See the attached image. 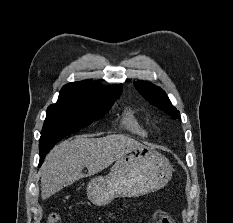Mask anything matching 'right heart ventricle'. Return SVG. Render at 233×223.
Returning <instances> with one entry per match:
<instances>
[{
	"mask_svg": "<svg viewBox=\"0 0 233 223\" xmlns=\"http://www.w3.org/2000/svg\"><path fill=\"white\" fill-rule=\"evenodd\" d=\"M120 126L140 137H147L149 134L146 125L140 120L132 109H127L123 112L120 118Z\"/></svg>",
	"mask_w": 233,
	"mask_h": 223,
	"instance_id": "right-heart-ventricle-1",
	"label": "right heart ventricle"
}]
</instances>
